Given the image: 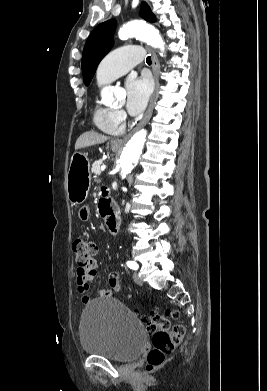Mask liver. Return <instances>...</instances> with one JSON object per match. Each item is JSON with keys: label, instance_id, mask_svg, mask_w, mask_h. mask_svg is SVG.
<instances>
[{"label": "liver", "instance_id": "liver-1", "mask_svg": "<svg viewBox=\"0 0 267 391\" xmlns=\"http://www.w3.org/2000/svg\"><path fill=\"white\" fill-rule=\"evenodd\" d=\"M108 139L109 137L106 135L93 132V131H88L79 136V138L75 143V149L78 150L81 148H86L89 146L101 144L106 142Z\"/></svg>", "mask_w": 267, "mask_h": 391}]
</instances>
